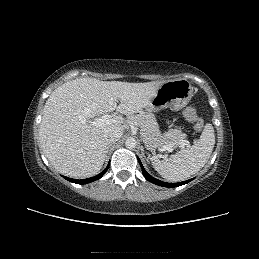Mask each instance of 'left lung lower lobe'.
Wrapping results in <instances>:
<instances>
[{"label": "left lung lower lobe", "mask_w": 259, "mask_h": 259, "mask_svg": "<svg viewBox=\"0 0 259 259\" xmlns=\"http://www.w3.org/2000/svg\"><path fill=\"white\" fill-rule=\"evenodd\" d=\"M138 162L142 168V173H143V176L146 178V180H148L149 182L153 183V184H156V185H159V186H164V187H178V186H181V185H184L188 182H190L192 179L190 180H187V181H184V182H180V183H167V182H163V181H160L154 177H152L151 175H149L146 170L144 169L140 159L138 158Z\"/></svg>", "instance_id": "obj_1"}]
</instances>
